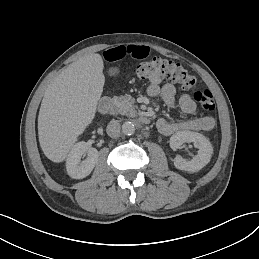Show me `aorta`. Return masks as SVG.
<instances>
[{"mask_svg":"<svg viewBox=\"0 0 259 259\" xmlns=\"http://www.w3.org/2000/svg\"><path fill=\"white\" fill-rule=\"evenodd\" d=\"M122 132L125 135H132L135 132V126L132 122H125L122 125Z\"/></svg>","mask_w":259,"mask_h":259,"instance_id":"1","label":"aorta"}]
</instances>
